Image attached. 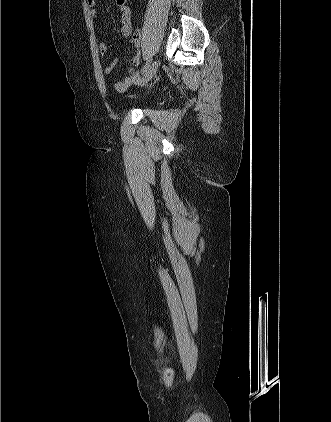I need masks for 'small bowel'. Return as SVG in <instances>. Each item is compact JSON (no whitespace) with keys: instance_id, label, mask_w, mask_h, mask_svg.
Returning a JSON list of instances; mask_svg holds the SVG:
<instances>
[{"instance_id":"small-bowel-1","label":"small bowel","mask_w":331,"mask_h":422,"mask_svg":"<svg viewBox=\"0 0 331 422\" xmlns=\"http://www.w3.org/2000/svg\"><path fill=\"white\" fill-rule=\"evenodd\" d=\"M90 7L89 13L92 17H96L98 11L96 9V0H87ZM118 10L121 12V33L124 37L130 39V42L138 48L141 41V34L137 30L133 33L132 23H131V10L127 4V0H115ZM98 42V51L101 56H105L108 52L107 44L102 41L100 38H97ZM119 60L114 58L108 65L105 66L104 72L106 74L112 73L114 68L117 66ZM140 63V55L136 54L131 58L132 65H138ZM136 83V77L133 75H128L122 80L114 81L112 83V89L116 93H123L125 90Z\"/></svg>"}]
</instances>
